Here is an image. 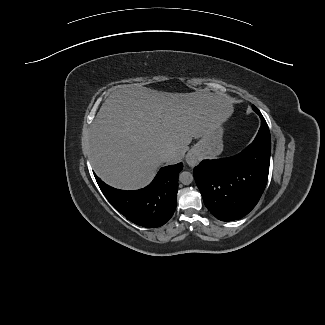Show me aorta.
Here are the masks:
<instances>
[{"instance_id": "762f6f07", "label": "aorta", "mask_w": 325, "mask_h": 325, "mask_svg": "<svg viewBox=\"0 0 325 325\" xmlns=\"http://www.w3.org/2000/svg\"><path fill=\"white\" fill-rule=\"evenodd\" d=\"M193 179H194L193 174H191L188 171H184L179 175V181L184 185L191 184Z\"/></svg>"}]
</instances>
